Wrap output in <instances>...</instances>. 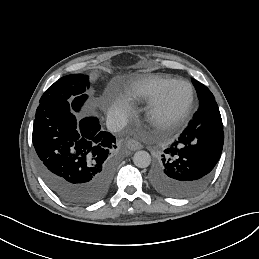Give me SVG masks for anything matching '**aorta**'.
Returning a JSON list of instances; mask_svg holds the SVG:
<instances>
[{"mask_svg": "<svg viewBox=\"0 0 259 259\" xmlns=\"http://www.w3.org/2000/svg\"><path fill=\"white\" fill-rule=\"evenodd\" d=\"M133 162L139 168H146L151 163V156L146 151H137L133 156Z\"/></svg>", "mask_w": 259, "mask_h": 259, "instance_id": "obj_1", "label": "aorta"}]
</instances>
